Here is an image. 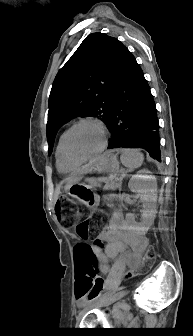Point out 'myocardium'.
<instances>
[{
	"instance_id": "obj_1",
	"label": "myocardium",
	"mask_w": 193,
	"mask_h": 336,
	"mask_svg": "<svg viewBox=\"0 0 193 336\" xmlns=\"http://www.w3.org/2000/svg\"><path fill=\"white\" fill-rule=\"evenodd\" d=\"M93 124L95 126H97L103 133V143L101 145V147L95 151L92 154L89 155H85V156H77L74 155L70 148H69V136L71 134V132L78 126L82 125V124ZM108 140H109V132L106 128V126L99 120L94 119V118H82L79 119L78 121H76L75 123H73L63 134V141H62V149H63V153L65 158L72 162V163H82L84 161L90 160L98 155H100L107 147L108 144Z\"/></svg>"
}]
</instances>
